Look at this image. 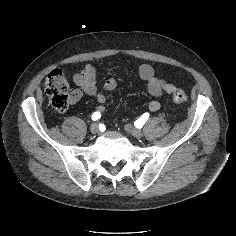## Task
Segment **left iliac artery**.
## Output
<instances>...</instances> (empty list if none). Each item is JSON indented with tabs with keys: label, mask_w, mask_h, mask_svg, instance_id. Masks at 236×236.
Wrapping results in <instances>:
<instances>
[{
	"label": "left iliac artery",
	"mask_w": 236,
	"mask_h": 236,
	"mask_svg": "<svg viewBox=\"0 0 236 236\" xmlns=\"http://www.w3.org/2000/svg\"><path fill=\"white\" fill-rule=\"evenodd\" d=\"M148 118H149V113H144V114L140 117V119L135 122V125H136V124H139V125H142V126H143V124L147 121Z\"/></svg>",
	"instance_id": "1"
}]
</instances>
